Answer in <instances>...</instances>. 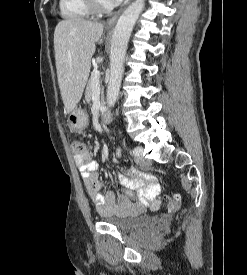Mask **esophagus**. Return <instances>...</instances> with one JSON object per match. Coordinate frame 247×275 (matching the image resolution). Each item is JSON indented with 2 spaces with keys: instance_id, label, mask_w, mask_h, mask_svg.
<instances>
[{
  "instance_id": "34e87169",
  "label": "esophagus",
  "mask_w": 247,
  "mask_h": 275,
  "mask_svg": "<svg viewBox=\"0 0 247 275\" xmlns=\"http://www.w3.org/2000/svg\"><path fill=\"white\" fill-rule=\"evenodd\" d=\"M131 0H129L130 2ZM123 11V8L115 12L108 20H107V27H112L115 25L118 17L120 16L121 12Z\"/></svg>"
}]
</instances>
